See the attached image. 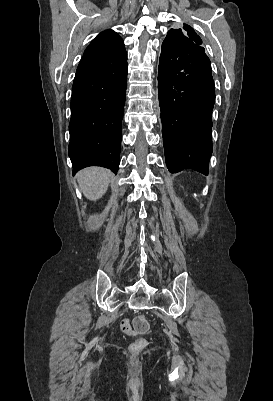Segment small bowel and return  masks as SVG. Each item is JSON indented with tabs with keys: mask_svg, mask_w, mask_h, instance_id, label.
Listing matches in <instances>:
<instances>
[{
	"mask_svg": "<svg viewBox=\"0 0 273 401\" xmlns=\"http://www.w3.org/2000/svg\"><path fill=\"white\" fill-rule=\"evenodd\" d=\"M119 323L121 324V332L124 333L125 338H134L135 337V332L133 331V328L130 327V320L128 318H122L119 320Z\"/></svg>",
	"mask_w": 273,
	"mask_h": 401,
	"instance_id": "c3829d8e",
	"label": "small bowel"
}]
</instances>
